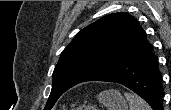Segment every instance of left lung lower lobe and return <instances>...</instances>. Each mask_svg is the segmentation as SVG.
<instances>
[{
    "instance_id": "obj_1",
    "label": "left lung lower lobe",
    "mask_w": 171,
    "mask_h": 110,
    "mask_svg": "<svg viewBox=\"0 0 171 110\" xmlns=\"http://www.w3.org/2000/svg\"><path fill=\"white\" fill-rule=\"evenodd\" d=\"M92 81L116 82L142 97L154 110H163L162 75L158 57L147 38L122 62Z\"/></svg>"
}]
</instances>
